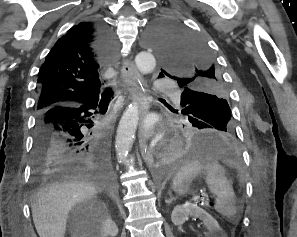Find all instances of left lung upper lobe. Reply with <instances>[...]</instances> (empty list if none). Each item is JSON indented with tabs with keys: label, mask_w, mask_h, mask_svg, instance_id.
Returning <instances> with one entry per match:
<instances>
[{
	"label": "left lung upper lobe",
	"mask_w": 297,
	"mask_h": 237,
	"mask_svg": "<svg viewBox=\"0 0 297 237\" xmlns=\"http://www.w3.org/2000/svg\"><path fill=\"white\" fill-rule=\"evenodd\" d=\"M148 40L163 62L160 75L182 88L181 113L195 122L215 117L220 126L233 131L227 89L206 43L169 21L153 24Z\"/></svg>",
	"instance_id": "5c2ea615"
}]
</instances>
